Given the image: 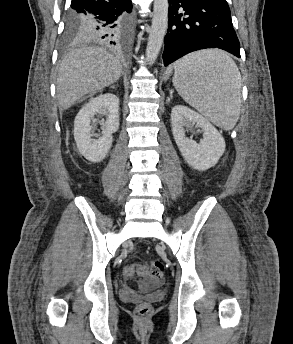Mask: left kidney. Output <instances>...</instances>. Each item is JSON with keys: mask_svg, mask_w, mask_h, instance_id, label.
<instances>
[{"mask_svg": "<svg viewBox=\"0 0 293 344\" xmlns=\"http://www.w3.org/2000/svg\"><path fill=\"white\" fill-rule=\"evenodd\" d=\"M192 124L203 130V139L197 143L186 137L185 127ZM171 126L175 142L186 162L199 171H205L218 162L225 151V140L219 131L202 115L184 105L171 111Z\"/></svg>", "mask_w": 293, "mask_h": 344, "instance_id": "obj_1", "label": "left kidney"}]
</instances>
